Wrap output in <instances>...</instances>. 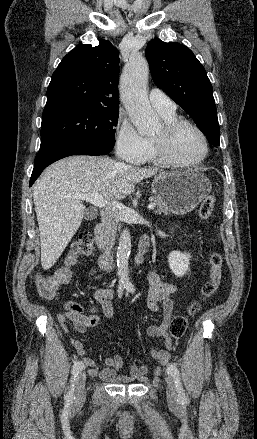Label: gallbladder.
<instances>
[{
	"mask_svg": "<svg viewBox=\"0 0 257 439\" xmlns=\"http://www.w3.org/2000/svg\"><path fill=\"white\" fill-rule=\"evenodd\" d=\"M85 218H86V219H89V215H88V214H86V215H85Z\"/></svg>",
	"mask_w": 257,
	"mask_h": 439,
	"instance_id": "gallbladder-1",
	"label": "gallbladder"
}]
</instances>
